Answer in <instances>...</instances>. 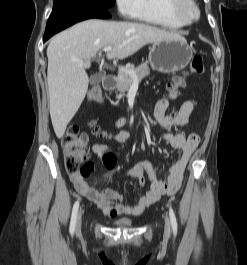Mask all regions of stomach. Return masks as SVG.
I'll return each mask as SVG.
<instances>
[{"instance_id": "stomach-1", "label": "stomach", "mask_w": 247, "mask_h": 265, "mask_svg": "<svg viewBox=\"0 0 247 265\" xmlns=\"http://www.w3.org/2000/svg\"><path fill=\"white\" fill-rule=\"evenodd\" d=\"M193 56L192 49L183 37L155 42L149 52V63L153 70L175 73L184 69Z\"/></svg>"}]
</instances>
